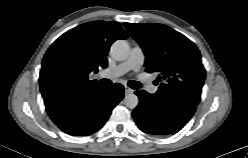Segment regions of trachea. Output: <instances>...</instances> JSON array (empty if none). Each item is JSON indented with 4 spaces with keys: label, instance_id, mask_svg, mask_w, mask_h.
I'll return each instance as SVG.
<instances>
[{
    "label": "trachea",
    "instance_id": "3493384b",
    "mask_svg": "<svg viewBox=\"0 0 248 158\" xmlns=\"http://www.w3.org/2000/svg\"><path fill=\"white\" fill-rule=\"evenodd\" d=\"M101 84L104 86H109L112 84V82L108 79H102ZM128 85L132 89H139L142 86L140 82H136V81H129Z\"/></svg>",
    "mask_w": 248,
    "mask_h": 158
}]
</instances>
